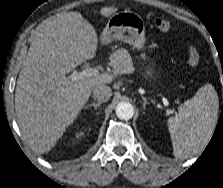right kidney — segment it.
Masks as SVG:
<instances>
[{"label": "right kidney", "instance_id": "ca27d5eb", "mask_svg": "<svg viewBox=\"0 0 223 188\" xmlns=\"http://www.w3.org/2000/svg\"><path fill=\"white\" fill-rule=\"evenodd\" d=\"M83 134V132L76 133V137L79 139Z\"/></svg>", "mask_w": 223, "mask_h": 188}]
</instances>
